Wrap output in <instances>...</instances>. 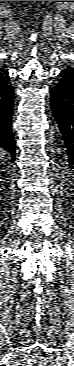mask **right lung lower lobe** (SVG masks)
Here are the masks:
<instances>
[{
    "instance_id": "1",
    "label": "right lung lower lobe",
    "mask_w": 74,
    "mask_h": 366,
    "mask_svg": "<svg viewBox=\"0 0 74 366\" xmlns=\"http://www.w3.org/2000/svg\"><path fill=\"white\" fill-rule=\"evenodd\" d=\"M14 107V91L8 72L0 77V149L10 153L15 159V141L11 131L12 112Z\"/></svg>"
}]
</instances>
